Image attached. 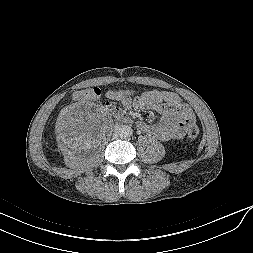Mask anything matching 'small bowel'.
<instances>
[{"label": "small bowel", "mask_w": 253, "mask_h": 253, "mask_svg": "<svg viewBox=\"0 0 253 253\" xmlns=\"http://www.w3.org/2000/svg\"><path fill=\"white\" fill-rule=\"evenodd\" d=\"M123 107L134 106L137 110L151 109L162 115L156 124L139 123V128L160 141H171L183 138L191 124H195L192 109L175 93L169 91L153 90L144 92L131 100L128 98H114Z\"/></svg>", "instance_id": "c3829d8e"}]
</instances>
